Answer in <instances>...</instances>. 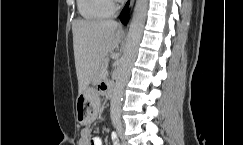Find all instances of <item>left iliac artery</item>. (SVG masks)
<instances>
[{"label": "left iliac artery", "mask_w": 243, "mask_h": 145, "mask_svg": "<svg viewBox=\"0 0 243 145\" xmlns=\"http://www.w3.org/2000/svg\"><path fill=\"white\" fill-rule=\"evenodd\" d=\"M115 127H116V130L118 132L119 137L123 139L124 138V133H123L122 124L121 123H116Z\"/></svg>", "instance_id": "obj_1"}]
</instances>
